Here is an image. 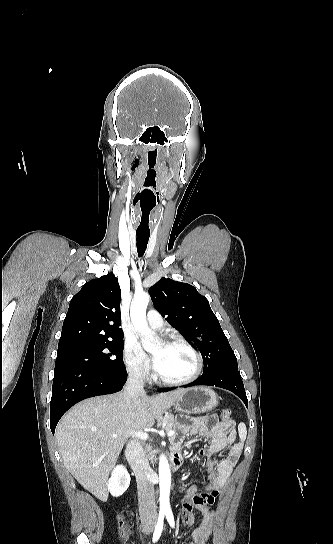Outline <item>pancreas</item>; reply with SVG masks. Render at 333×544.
I'll return each instance as SVG.
<instances>
[{"mask_svg":"<svg viewBox=\"0 0 333 544\" xmlns=\"http://www.w3.org/2000/svg\"><path fill=\"white\" fill-rule=\"evenodd\" d=\"M161 421L166 423L165 428L167 431L176 430L180 426L179 422L174 418L173 415H166L165 417L161 419ZM174 438L175 436L171 437V439H174ZM146 448L150 449L151 447L147 445Z\"/></svg>","mask_w":333,"mask_h":544,"instance_id":"cf45deb5","label":"pancreas"}]
</instances>
